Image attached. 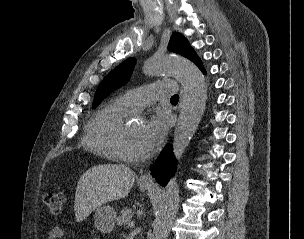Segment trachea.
I'll use <instances>...</instances> for the list:
<instances>
[{"mask_svg":"<svg viewBox=\"0 0 304 239\" xmlns=\"http://www.w3.org/2000/svg\"><path fill=\"white\" fill-rule=\"evenodd\" d=\"M170 100H171V101H174V102H178L179 96H178V95H174V96L171 97Z\"/></svg>","mask_w":304,"mask_h":239,"instance_id":"1","label":"trachea"}]
</instances>
